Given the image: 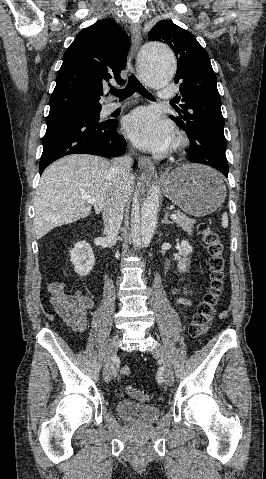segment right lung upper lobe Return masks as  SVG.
Wrapping results in <instances>:
<instances>
[{
  "label": "right lung upper lobe",
  "mask_w": 266,
  "mask_h": 479,
  "mask_svg": "<svg viewBox=\"0 0 266 479\" xmlns=\"http://www.w3.org/2000/svg\"><path fill=\"white\" fill-rule=\"evenodd\" d=\"M129 38L113 20L103 19L81 30L63 55L50 97V112L101 107L103 86L126 66Z\"/></svg>",
  "instance_id": "cb5924a9"
}]
</instances>
